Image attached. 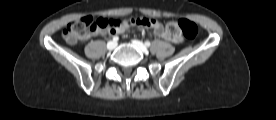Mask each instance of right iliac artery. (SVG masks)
Masks as SVG:
<instances>
[{
  "label": "right iliac artery",
  "mask_w": 276,
  "mask_h": 120,
  "mask_svg": "<svg viewBox=\"0 0 276 120\" xmlns=\"http://www.w3.org/2000/svg\"><path fill=\"white\" fill-rule=\"evenodd\" d=\"M119 40V37L118 36H114L113 37V41L117 42Z\"/></svg>",
  "instance_id": "82829eb1"
}]
</instances>
